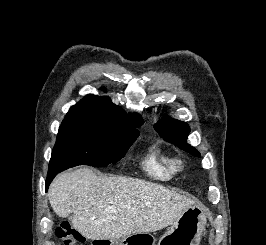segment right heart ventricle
I'll return each instance as SVG.
<instances>
[{
	"label": "right heart ventricle",
	"instance_id": "e07e8e85",
	"mask_svg": "<svg viewBox=\"0 0 266 245\" xmlns=\"http://www.w3.org/2000/svg\"><path fill=\"white\" fill-rule=\"evenodd\" d=\"M141 168L149 178L158 182H170L180 174L177 158L157 144L148 148Z\"/></svg>",
	"mask_w": 266,
	"mask_h": 245
}]
</instances>
